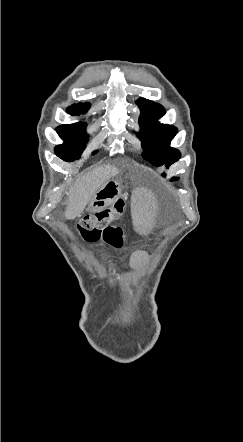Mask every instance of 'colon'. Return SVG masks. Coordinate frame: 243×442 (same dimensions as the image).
I'll use <instances>...</instances> for the list:
<instances>
[{
	"label": "colon",
	"mask_w": 243,
	"mask_h": 442,
	"mask_svg": "<svg viewBox=\"0 0 243 442\" xmlns=\"http://www.w3.org/2000/svg\"><path fill=\"white\" fill-rule=\"evenodd\" d=\"M124 209V200L118 198L111 206L85 216L77 224L80 235L89 242L102 241L110 247L121 248L124 236L118 223L123 218Z\"/></svg>",
	"instance_id": "obj_1"
}]
</instances>
